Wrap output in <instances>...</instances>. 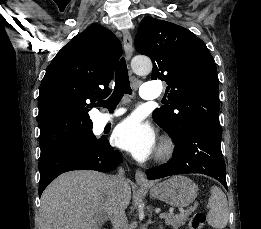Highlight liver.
I'll return each instance as SVG.
<instances>
[{"mask_svg": "<svg viewBox=\"0 0 261 229\" xmlns=\"http://www.w3.org/2000/svg\"><path fill=\"white\" fill-rule=\"evenodd\" d=\"M108 175L98 171L63 173L45 189L40 199V229H101L115 203L108 193ZM121 209L131 201L126 183L116 199Z\"/></svg>", "mask_w": 261, "mask_h": 229, "instance_id": "6515ba94", "label": "liver"}]
</instances>
